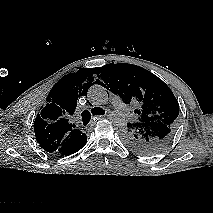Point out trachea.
<instances>
[{
	"label": "trachea",
	"instance_id": "trachea-1",
	"mask_svg": "<svg viewBox=\"0 0 213 213\" xmlns=\"http://www.w3.org/2000/svg\"><path fill=\"white\" fill-rule=\"evenodd\" d=\"M91 112H92L93 115H103L105 113V111L100 107H94L91 110ZM81 116H82L83 125H87L91 120L90 112L87 111V110H84L82 112Z\"/></svg>",
	"mask_w": 213,
	"mask_h": 213
}]
</instances>
